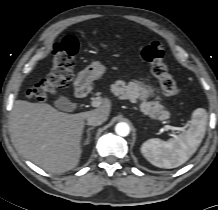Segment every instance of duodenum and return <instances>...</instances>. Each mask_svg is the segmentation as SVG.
I'll return each mask as SVG.
<instances>
[{"instance_id": "1", "label": "duodenum", "mask_w": 218, "mask_h": 210, "mask_svg": "<svg viewBox=\"0 0 218 210\" xmlns=\"http://www.w3.org/2000/svg\"><path fill=\"white\" fill-rule=\"evenodd\" d=\"M89 93V84L84 77L76 80V94L79 98H84Z\"/></svg>"}]
</instances>
